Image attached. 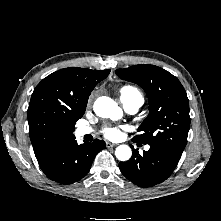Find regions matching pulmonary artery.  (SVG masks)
<instances>
[{
  "instance_id": "pulmonary-artery-1",
  "label": "pulmonary artery",
  "mask_w": 221,
  "mask_h": 221,
  "mask_svg": "<svg viewBox=\"0 0 221 221\" xmlns=\"http://www.w3.org/2000/svg\"><path fill=\"white\" fill-rule=\"evenodd\" d=\"M124 109L129 114H134L138 111L142 103L140 101H122ZM92 133V128L87 126H81L76 129V135L77 136H85ZM150 147L146 146V150H148Z\"/></svg>"
}]
</instances>
